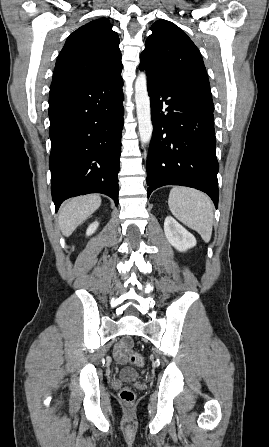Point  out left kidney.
<instances>
[{
  "instance_id": "1",
  "label": "left kidney",
  "mask_w": 269,
  "mask_h": 447,
  "mask_svg": "<svg viewBox=\"0 0 269 447\" xmlns=\"http://www.w3.org/2000/svg\"><path fill=\"white\" fill-rule=\"evenodd\" d=\"M164 231L169 243L176 249H179V251H186V249L194 247L197 243L196 237L190 231H187L183 225L178 224L171 216L165 218Z\"/></svg>"
}]
</instances>
